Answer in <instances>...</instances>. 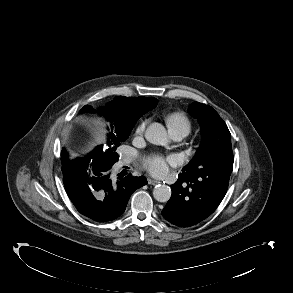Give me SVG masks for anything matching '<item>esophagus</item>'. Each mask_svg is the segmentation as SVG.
<instances>
[{
	"mask_svg": "<svg viewBox=\"0 0 293 293\" xmlns=\"http://www.w3.org/2000/svg\"><path fill=\"white\" fill-rule=\"evenodd\" d=\"M160 183V181L153 179V178H148V184L150 185H158Z\"/></svg>",
	"mask_w": 293,
	"mask_h": 293,
	"instance_id": "34e87169",
	"label": "esophagus"
}]
</instances>
